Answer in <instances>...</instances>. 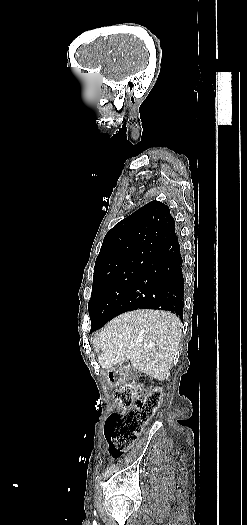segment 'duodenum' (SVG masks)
I'll return each instance as SVG.
<instances>
[{
  "label": "duodenum",
  "instance_id": "1",
  "mask_svg": "<svg viewBox=\"0 0 247 525\" xmlns=\"http://www.w3.org/2000/svg\"><path fill=\"white\" fill-rule=\"evenodd\" d=\"M121 372L119 370H115L109 373L108 378L110 383H116L119 378L121 377Z\"/></svg>",
  "mask_w": 247,
  "mask_h": 525
}]
</instances>
